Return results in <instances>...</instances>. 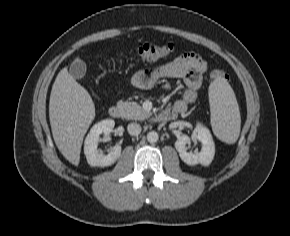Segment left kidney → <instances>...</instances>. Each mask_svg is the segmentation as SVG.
Returning <instances> with one entry per match:
<instances>
[{
    "label": "left kidney",
    "mask_w": 290,
    "mask_h": 236,
    "mask_svg": "<svg viewBox=\"0 0 290 236\" xmlns=\"http://www.w3.org/2000/svg\"><path fill=\"white\" fill-rule=\"evenodd\" d=\"M194 139L202 143L200 152H188L186 145L190 142L187 135L180 136L175 142V148L179 152V156L187 165H196L200 163L203 166H208L215 154V146L212 135L208 128L201 123H198L192 133Z\"/></svg>",
    "instance_id": "1"
}]
</instances>
